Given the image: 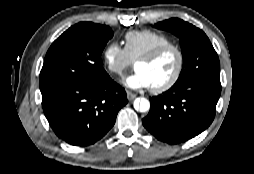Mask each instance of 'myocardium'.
<instances>
[{"label":"myocardium","mask_w":254,"mask_h":174,"mask_svg":"<svg viewBox=\"0 0 254 174\" xmlns=\"http://www.w3.org/2000/svg\"><path fill=\"white\" fill-rule=\"evenodd\" d=\"M167 51H174L177 55V66L176 70L173 74V76L164 84L157 86V87H152V92L154 93H163L168 90H170L180 79L181 74L183 72L184 68V63H185V58H184V53L183 50L181 49L180 46L174 44V43H169L162 45L160 47H157L156 49L152 50L148 54L144 55L141 57L138 62H146V63H151L157 60L161 55L166 53Z\"/></svg>","instance_id":"myocardium-1"}]
</instances>
